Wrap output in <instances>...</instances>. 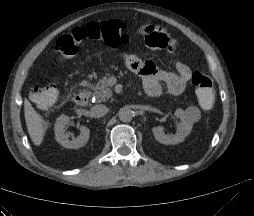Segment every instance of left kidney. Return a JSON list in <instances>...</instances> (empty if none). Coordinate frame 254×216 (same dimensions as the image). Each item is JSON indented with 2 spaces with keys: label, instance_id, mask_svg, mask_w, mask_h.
<instances>
[{
  "label": "left kidney",
  "instance_id": "obj_1",
  "mask_svg": "<svg viewBox=\"0 0 254 216\" xmlns=\"http://www.w3.org/2000/svg\"><path fill=\"white\" fill-rule=\"evenodd\" d=\"M174 115L180 119V123L177 126V133L174 135H167L164 132V127L157 126L152 128V133L155 139L165 145H175L184 141L192 131V122L187 118L185 111L182 109H176Z\"/></svg>",
  "mask_w": 254,
  "mask_h": 216
}]
</instances>
